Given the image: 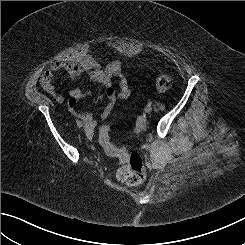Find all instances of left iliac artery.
I'll return each instance as SVG.
<instances>
[{
	"mask_svg": "<svg viewBox=\"0 0 245 245\" xmlns=\"http://www.w3.org/2000/svg\"><path fill=\"white\" fill-rule=\"evenodd\" d=\"M152 105V102H148V106H151Z\"/></svg>",
	"mask_w": 245,
	"mask_h": 245,
	"instance_id": "obj_1",
	"label": "left iliac artery"
}]
</instances>
